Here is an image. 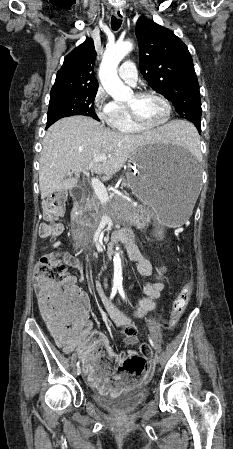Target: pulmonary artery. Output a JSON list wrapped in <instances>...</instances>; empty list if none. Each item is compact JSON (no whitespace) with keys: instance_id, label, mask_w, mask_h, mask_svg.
<instances>
[{"instance_id":"obj_1","label":"pulmonary artery","mask_w":233,"mask_h":449,"mask_svg":"<svg viewBox=\"0 0 233 449\" xmlns=\"http://www.w3.org/2000/svg\"><path fill=\"white\" fill-rule=\"evenodd\" d=\"M119 77L125 83L135 86L138 79V73L135 64L132 61H124L119 69Z\"/></svg>"}]
</instances>
